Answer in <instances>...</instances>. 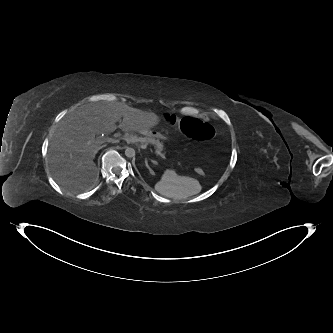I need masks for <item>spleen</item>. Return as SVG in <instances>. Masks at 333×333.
<instances>
[{
	"instance_id": "3e777b00",
	"label": "spleen",
	"mask_w": 333,
	"mask_h": 333,
	"mask_svg": "<svg viewBox=\"0 0 333 333\" xmlns=\"http://www.w3.org/2000/svg\"><path fill=\"white\" fill-rule=\"evenodd\" d=\"M154 187L162 196L178 200L196 195L202 190L198 180L179 176L172 170H166Z\"/></svg>"
}]
</instances>
